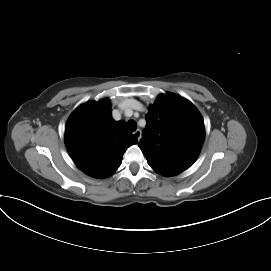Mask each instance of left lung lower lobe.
Returning a JSON list of instances; mask_svg holds the SVG:
<instances>
[{
  "label": "left lung lower lobe",
  "mask_w": 271,
  "mask_h": 271,
  "mask_svg": "<svg viewBox=\"0 0 271 271\" xmlns=\"http://www.w3.org/2000/svg\"><path fill=\"white\" fill-rule=\"evenodd\" d=\"M157 173L161 174V175H165V176H173L176 175L177 173L172 172V171H168V170H164L161 168H157V167H152Z\"/></svg>",
  "instance_id": "obj_1"
}]
</instances>
